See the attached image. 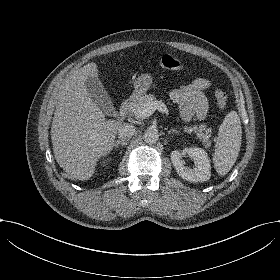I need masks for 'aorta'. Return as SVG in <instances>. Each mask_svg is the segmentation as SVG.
Listing matches in <instances>:
<instances>
[{"instance_id": "1", "label": "aorta", "mask_w": 280, "mask_h": 280, "mask_svg": "<svg viewBox=\"0 0 280 280\" xmlns=\"http://www.w3.org/2000/svg\"><path fill=\"white\" fill-rule=\"evenodd\" d=\"M144 141L148 144H155L159 139V134L156 129L149 128L144 133Z\"/></svg>"}]
</instances>
